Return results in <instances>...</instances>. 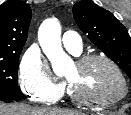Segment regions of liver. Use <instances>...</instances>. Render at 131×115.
<instances>
[{
    "label": "liver",
    "mask_w": 131,
    "mask_h": 115,
    "mask_svg": "<svg viewBox=\"0 0 131 115\" xmlns=\"http://www.w3.org/2000/svg\"><path fill=\"white\" fill-rule=\"evenodd\" d=\"M0 115H82L80 112L57 108L31 107L27 104H0Z\"/></svg>",
    "instance_id": "1"
}]
</instances>
